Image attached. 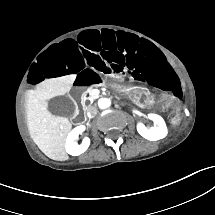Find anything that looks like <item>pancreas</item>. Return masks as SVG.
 <instances>
[{"label":"pancreas","instance_id":"cf45deb5","mask_svg":"<svg viewBox=\"0 0 215 215\" xmlns=\"http://www.w3.org/2000/svg\"><path fill=\"white\" fill-rule=\"evenodd\" d=\"M85 95H88L87 100L92 104L100 95L94 94L92 88L87 89ZM84 104V103H83Z\"/></svg>","mask_w":215,"mask_h":215}]
</instances>
